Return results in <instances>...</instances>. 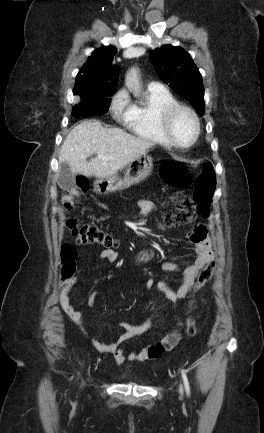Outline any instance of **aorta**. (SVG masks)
<instances>
[{"label":"aorta","instance_id":"762f6f07","mask_svg":"<svg viewBox=\"0 0 264 433\" xmlns=\"http://www.w3.org/2000/svg\"><path fill=\"white\" fill-rule=\"evenodd\" d=\"M136 83V73L132 70L126 77V85L131 88Z\"/></svg>","mask_w":264,"mask_h":433}]
</instances>
